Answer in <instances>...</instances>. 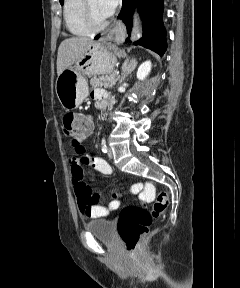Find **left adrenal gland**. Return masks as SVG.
Instances as JSON below:
<instances>
[{
  "label": "left adrenal gland",
  "instance_id": "1",
  "mask_svg": "<svg viewBox=\"0 0 240 288\" xmlns=\"http://www.w3.org/2000/svg\"><path fill=\"white\" fill-rule=\"evenodd\" d=\"M136 65H137V61H136V59H127L124 63H123V65H122V67H121V70H122V73H121V79H120V81H119V83H122L125 79H126V77L129 75V74H131V72L135 69V67H136Z\"/></svg>",
  "mask_w": 240,
  "mask_h": 288
}]
</instances>
